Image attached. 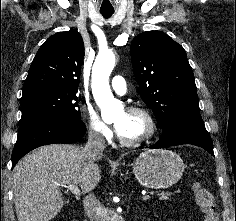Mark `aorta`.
<instances>
[{
    "label": "aorta",
    "mask_w": 236,
    "mask_h": 221,
    "mask_svg": "<svg viewBox=\"0 0 236 221\" xmlns=\"http://www.w3.org/2000/svg\"><path fill=\"white\" fill-rule=\"evenodd\" d=\"M114 65L115 55L108 51L97 56L92 69L93 95L103 119H113L123 113V105L114 98L108 81Z\"/></svg>",
    "instance_id": "obj_1"
}]
</instances>
